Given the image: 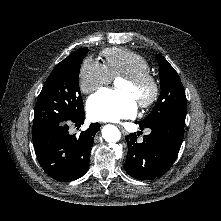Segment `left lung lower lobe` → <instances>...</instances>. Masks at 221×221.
<instances>
[{
    "instance_id": "0a47b994",
    "label": "left lung lower lobe",
    "mask_w": 221,
    "mask_h": 221,
    "mask_svg": "<svg viewBox=\"0 0 221 221\" xmlns=\"http://www.w3.org/2000/svg\"><path fill=\"white\" fill-rule=\"evenodd\" d=\"M185 115H172L148 125L137 122L140 129L150 128L143 142H137V135L126 136L128 153L125 170L133 178L147 180L165 174L174 163L182 141Z\"/></svg>"
}]
</instances>
